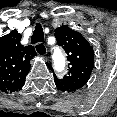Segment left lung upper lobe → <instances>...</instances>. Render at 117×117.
I'll return each mask as SVG.
<instances>
[{
	"label": "left lung upper lobe",
	"instance_id": "1",
	"mask_svg": "<svg viewBox=\"0 0 117 117\" xmlns=\"http://www.w3.org/2000/svg\"><path fill=\"white\" fill-rule=\"evenodd\" d=\"M57 43L68 55V75L62 79L54 78L61 91L74 92L89 80L94 68V52L89 42L79 33L63 25L55 30ZM51 68V66H50Z\"/></svg>",
	"mask_w": 117,
	"mask_h": 117
}]
</instances>
